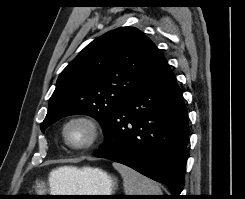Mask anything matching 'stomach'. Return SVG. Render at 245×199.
Returning <instances> with one entry per match:
<instances>
[{"label":"stomach","mask_w":245,"mask_h":199,"mask_svg":"<svg viewBox=\"0 0 245 199\" xmlns=\"http://www.w3.org/2000/svg\"><path fill=\"white\" fill-rule=\"evenodd\" d=\"M53 195H111L117 180L99 168L84 167L69 176L56 174L53 177ZM79 198V197H78ZM96 199L99 196H80Z\"/></svg>","instance_id":"1"}]
</instances>
